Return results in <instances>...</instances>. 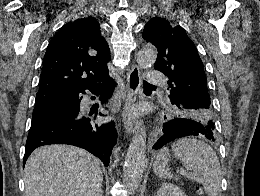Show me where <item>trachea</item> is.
Masks as SVG:
<instances>
[{"instance_id":"trachea-1","label":"trachea","mask_w":260,"mask_h":196,"mask_svg":"<svg viewBox=\"0 0 260 196\" xmlns=\"http://www.w3.org/2000/svg\"><path fill=\"white\" fill-rule=\"evenodd\" d=\"M143 88H156L155 85H151L150 83H148V81H143Z\"/></svg>"}]
</instances>
